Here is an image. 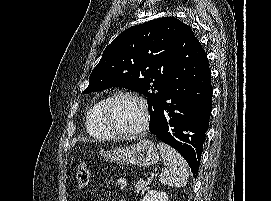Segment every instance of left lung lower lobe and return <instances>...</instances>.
<instances>
[{
	"instance_id": "0a47b994",
	"label": "left lung lower lobe",
	"mask_w": 271,
	"mask_h": 201,
	"mask_svg": "<svg viewBox=\"0 0 271 201\" xmlns=\"http://www.w3.org/2000/svg\"><path fill=\"white\" fill-rule=\"evenodd\" d=\"M212 110L211 71L207 55L190 27H184L175 52L168 89L149 130L176 149L194 177Z\"/></svg>"
}]
</instances>
